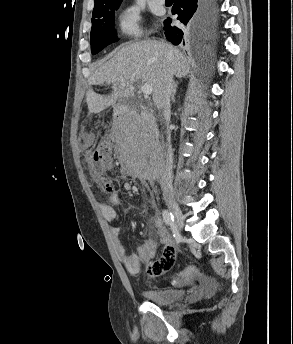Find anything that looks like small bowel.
Wrapping results in <instances>:
<instances>
[{
  "label": "small bowel",
  "instance_id": "c3829d8e",
  "mask_svg": "<svg viewBox=\"0 0 293 344\" xmlns=\"http://www.w3.org/2000/svg\"><path fill=\"white\" fill-rule=\"evenodd\" d=\"M82 144L84 148H88L90 142L83 140ZM121 204L119 194L113 193L109 196L107 204L100 205V210L108 222H113L116 219L115 208ZM152 220L157 229L160 243L163 245V254L158 260L154 259L158 249L157 242L152 239L145 240L135 252L129 253L119 238L120 228L116 226L110 228L115 250L126 270L132 275H139L143 266L146 265L147 273L152 277H156L169 271L174 264L176 250L169 232L157 213H154ZM193 279H197L200 285L192 288L190 299H200L213 293L214 284L208 278L197 274L185 283L188 284Z\"/></svg>",
  "mask_w": 293,
  "mask_h": 344
}]
</instances>
